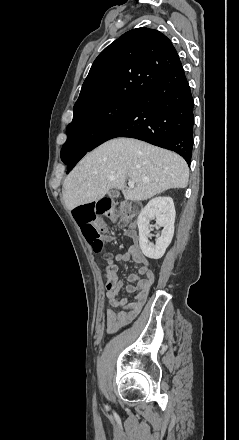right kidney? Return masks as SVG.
Listing matches in <instances>:
<instances>
[{"label":"right kidney","mask_w":239,"mask_h":440,"mask_svg":"<svg viewBox=\"0 0 239 440\" xmlns=\"http://www.w3.org/2000/svg\"><path fill=\"white\" fill-rule=\"evenodd\" d=\"M175 208L172 198H153L143 208L138 216L137 224L139 230V242H141L144 257H152L158 261L160 253L165 252V248H170L174 234ZM156 218L157 226L163 228L160 238H156V244L152 243L150 236V220Z\"/></svg>","instance_id":"right-kidney-1"}]
</instances>
